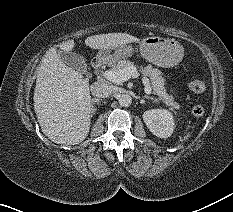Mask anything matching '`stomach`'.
<instances>
[{
	"instance_id": "0dacf381",
	"label": "stomach",
	"mask_w": 233,
	"mask_h": 212,
	"mask_svg": "<svg viewBox=\"0 0 233 212\" xmlns=\"http://www.w3.org/2000/svg\"><path fill=\"white\" fill-rule=\"evenodd\" d=\"M132 45H121L116 48L101 49L99 56L105 61L119 60L133 54ZM141 55L149 62L160 67H172L183 58V48L174 39L149 36L140 43Z\"/></svg>"
}]
</instances>
